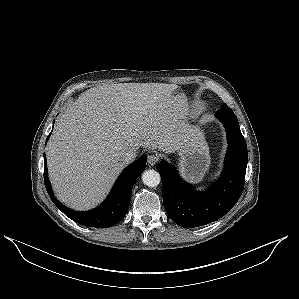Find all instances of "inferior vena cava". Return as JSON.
<instances>
[{
  "label": "inferior vena cava",
  "mask_w": 299,
  "mask_h": 299,
  "mask_svg": "<svg viewBox=\"0 0 299 299\" xmlns=\"http://www.w3.org/2000/svg\"><path fill=\"white\" fill-rule=\"evenodd\" d=\"M137 151L135 149H129L123 153L122 161L124 164H129L135 160Z\"/></svg>",
  "instance_id": "obj_1"
}]
</instances>
